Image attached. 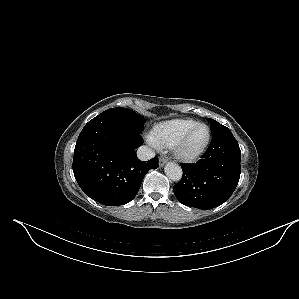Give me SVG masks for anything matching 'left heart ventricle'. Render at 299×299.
<instances>
[{
	"instance_id": "b2bd125f",
	"label": "left heart ventricle",
	"mask_w": 299,
	"mask_h": 299,
	"mask_svg": "<svg viewBox=\"0 0 299 299\" xmlns=\"http://www.w3.org/2000/svg\"><path fill=\"white\" fill-rule=\"evenodd\" d=\"M206 137H207V131L204 127L196 128L187 141L186 149L188 151L197 150L202 146V144L206 140Z\"/></svg>"
}]
</instances>
